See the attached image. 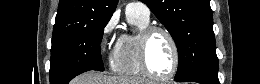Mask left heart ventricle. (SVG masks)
<instances>
[{
	"label": "left heart ventricle",
	"mask_w": 260,
	"mask_h": 84,
	"mask_svg": "<svg viewBox=\"0 0 260 84\" xmlns=\"http://www.w3.org/2000/svg\"><path fill=\"white\" fill-rule=\"evenodd\" d=\"M148 62L155 74L165 76L172 70V47L168 38L161 32L153 34L149 41Z\"/></svg>",
	"instance_id": "b2bd125f"
}]
</instances>
